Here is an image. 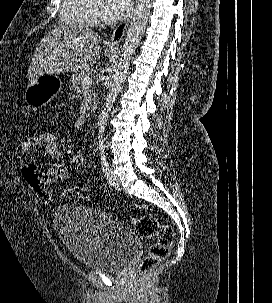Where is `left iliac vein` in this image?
<instances>
[{
  "instance_id": "left-iliac-vein-1",
  "label": "left iliac vein",
  "mask_w": 272,
  "mask_h": 303,
  "mask_svg": "<svg viewBox=\"0 0 272 303\" xmlns=\"http://www.w3.org/2000/svg\"><path fill=\"white\" fill-rule=\"evenodd\" d=\"M106 179L108 184L113 187L115 190H120L121 189V182L118 178V176L112 171L108 170L106 173Z\"/></svg>"
}]
</instances>
